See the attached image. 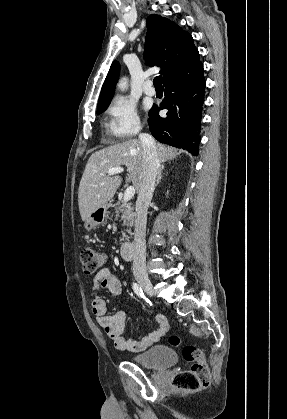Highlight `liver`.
Returning a JSON list of instances; mask_svg holds the SVG:
<instances>
[{
	"mask_svg": "<svg viewBox=\"0 0 287 419\" xmlns=\"http://www.w3.org/2000/svg\"><path fill=\"white\" fill-rule=\"evenodd\" d=\"M156 144L160 162L176 158L181 151L161 143ZM126 166V183H132L138 192L143 173V147L140 140L131 139L94 152L82 175L78 205L83 221L98 208L108 205L122 183L120 176H109V169Z\"/></svg>",
	"mask_w": 287,
	"mask_h": 419,
	"instance_id": "obj_1",
	"label": "liver"
}]
</instances>
